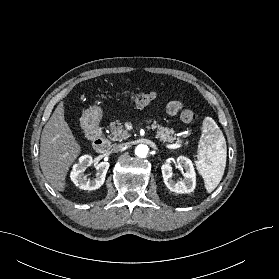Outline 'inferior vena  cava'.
<instances>
[{
	"instance_id": "602c4592",
	"label": "inferior vena cava",
	"mask_w": 279,
	"mask_h": 279,
	"mask_svg": "<svg viewBox=\"0 0 279 279\" xmlns=\"http://www.w3.org/2000/svg\"><path fill=\"white\" fill-rule=\"evenodd\" d=\"M124 145L123 144H116L114 145V147L112 148V151L117 153L119 151H121L123 149Z\"/></svg>"
}]
</instances>
